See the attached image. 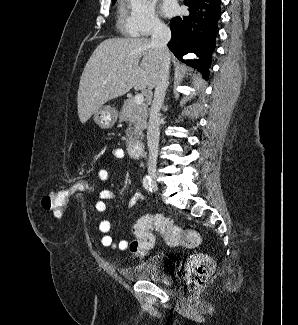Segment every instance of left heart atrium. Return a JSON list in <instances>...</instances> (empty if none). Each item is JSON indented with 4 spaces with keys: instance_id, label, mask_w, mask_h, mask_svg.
<instances>
[{
    "instance_id": "left-heart-atrium-1",
    "label": "left heart atrium",
    "mask_w": 298,
    "mask_h": 325,
    "mask_svg": "<svg viewBox=\"0 0 298 325\" xmlns=\"http://www.w3.org/2000/svg\"><path fill=\"white\" fill-rule=\"evenodd\" d=\"M177 12V4L175 0H164L162 3V13L166 17H171Z\"/></svg>"
}]
</instances>
